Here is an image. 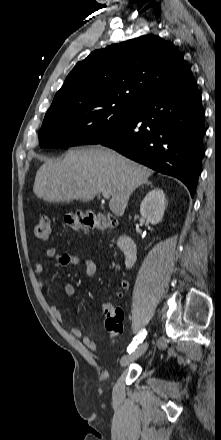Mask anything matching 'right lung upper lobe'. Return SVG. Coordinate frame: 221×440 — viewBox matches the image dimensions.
<instances>
[{"instance_id":"1","label":"right lung upper lobe","mask_w":221,"mask_h":440,"mask_svg":"<svg viewBox=\"0 0 221 440\" xmlns=\"http://www.w3.org/2000/svg\"><path fill=\"white\" fill-rule=\"evenodd\" d=\"M191 80L187 65L171 43L156 35H144L95 50L78 62L49 110L76 104L135 107Z\"/></svg>"}]
</instances>
